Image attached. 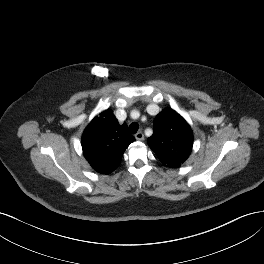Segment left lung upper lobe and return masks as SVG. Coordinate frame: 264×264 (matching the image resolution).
<instances>
[{
	"instance_id": "left-lung-upper-lobe-1",
	"label": "left lung upper lobe",
	"mask_w": 264,
	"mask_h": 264,
	"mask_svg": "<svg viewBox=\"0 0 264 264\" xmlns=\"http://www.w3.org/2000/svg\"><path fill=\"white\" fill-rule=\"evenodd\" d=\"M153 130L148 138L150 148L165 166L180 167L189 157L194 140L188 123L174 110L164 109L155 118Z\"/></svg>"
}]
</instances>
